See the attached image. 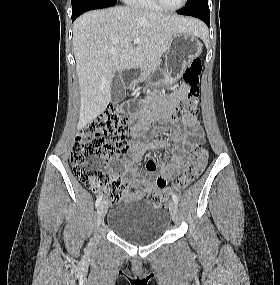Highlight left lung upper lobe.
<instances>
[{
    "instance_id": "obj_1",
    "label": "left lung upper lobe",
    "mask_w": 280,
    "mask_h": 285,
    "mask_svg": "<svg viewBox=\"0 0 280 285\" xmlns=\"http://www.w3.org/2000/svg\"><path fill=\"white\" fill-rule=\"evenodd\" d=\"M206 4H208V0H187L186 8L195 5H206Z\"/></svg>"
}]
</instances>
